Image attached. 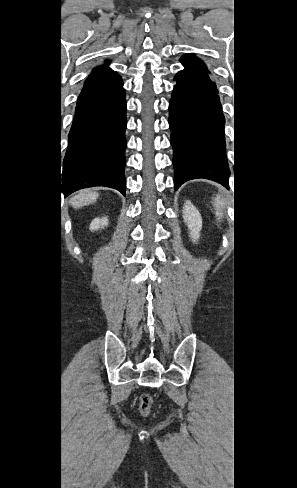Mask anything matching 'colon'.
Returning <instances> with one entry per match:
<instances>
[{
    "label": "colon",
    "mask_w": 297,
    "mask_h": 488,
    "mask_svg": "<svg viewBox=\"0 0 297 488\" xmlns=\"http://www.w3.org/2000/svg\"><path fill=\"white\" fill-rule=\"evenodd\" d=\"M153 400L149 394H142L139 402V411L142 416L146 417L150 414L152 408Z\"/></svg>",
    "instance_id": "obj_1"
}]
</instances>
